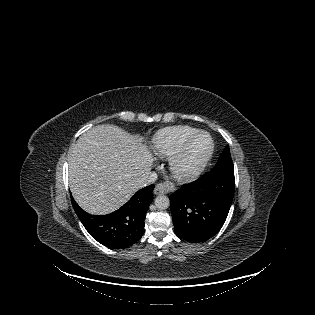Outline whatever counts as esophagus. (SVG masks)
Instances as JSON below:
<instances>
[{
    "label": "esophagus",
    "instance_id": "34e87169",
    "mask_svg": "<svg viewBox=\"0 0 315 315\" xmlns=\"http://www.w3.org/2000/svg\"><path fill=\"white\" fill-rule=\"evenodd\" d=\"M173 188H174V185L171 182L169 181L161 182L155 186L154 194L156 195L166 194V193L171 192Z\"/></svg>",
    "mask_w": 315,
    "mask_h": 315
}]
</instances>
